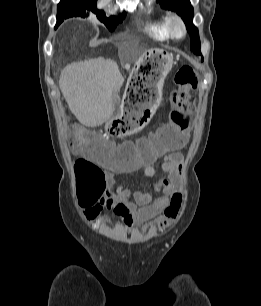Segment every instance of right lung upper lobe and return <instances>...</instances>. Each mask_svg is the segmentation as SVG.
Here are the masks:
<instances>
[{
	"mask_svg": "<svg viewBox=\"0 0 261 306\" xmlns=\"http://www.w3.org/2000/svg\"><path fill=\"white\" fill-rule=\"evenodd\" d=\"M70 1H74V0H61L60 3H65V2H70Z\"/></svg>",
	"mask_w": 261,
	"mask_h": 306,
	"instance_id": "right-lung-upper-lobe-1",
	"label": "right lung upper lobe"
}]
</instances>
